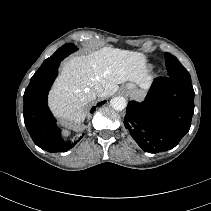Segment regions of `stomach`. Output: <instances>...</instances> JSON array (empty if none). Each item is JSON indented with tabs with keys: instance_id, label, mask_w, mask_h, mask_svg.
Wrapping results in <instances>:
<instances>
[{
	"instance_id": "stomach-1",
	"label": "stomach",
	"mask_w": 211,
	"mask_h": 211,
	"mask_svg": "<svg viewBox=\"0 0 211 211\" xmlns=\"http://www.w3.org/2000/svg\"><path fill=\"white\" fill-rule=\"evenodd\" d=\"M122 92L131 98L139 99L143 95V90L136 87L134 84H126L122 88Z\"/></svg>"
}]
</instances>
